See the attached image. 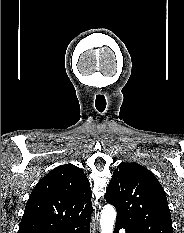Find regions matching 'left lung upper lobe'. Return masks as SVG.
I'll use <instances>...</instances> for the list:
<instances>
[{
    "mask_svg": "<svg viewBox=\"0 0 184 233\" xmlns=\"http://www.w3.org/2000/svg\"><path fill=\"white\" fill-rule=\"evenodd\" d=\"M104 198L115 206L116 220L132 233H173L166 193L147 168L137 163L119 164Z\"/></svg>",
    "mask_w": 184,
    "mask_h": 233,
    "instance_id": "1",
    "label": "left lung upper lobe"
}]
</instances>
